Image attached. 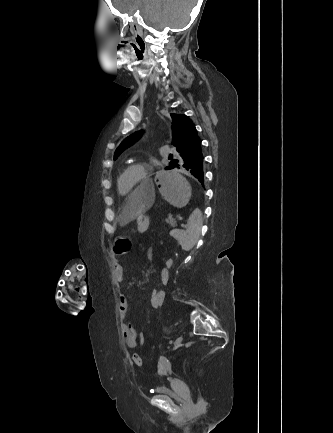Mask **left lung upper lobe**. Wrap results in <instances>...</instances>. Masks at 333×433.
Returning <instances> with one entry per match:
<instances>
[{"label":"left lung upper lobe","mask_w":333,"mask_h":433,"mask_svg":"<svg viewBox=\"0 0 333 433\" xmlns=\"http://www.w3.org/2000/svg\"><path fill=\"white\" fill-rule=\"evenodd\" d=\"M172 123V144L176 146L178 155L183 153L192 143L199 139L193 122L184 114H171ZM142 136V133H134L128 136L116 149L114 159H116L126 148L130 147ZM172 159V158H171ZM175 160V159H174ZM172 160L167 170L172 169Z\"/></svg>","instance_id":"obj_1"}]
</instances>
